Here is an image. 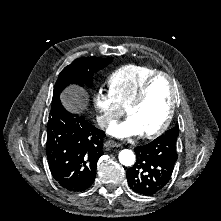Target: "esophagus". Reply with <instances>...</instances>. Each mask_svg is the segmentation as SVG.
Returning <instances> with one entry per match:
<instances>
[{
    "label": "esophagus",
    "mask_w": 221,
    "mask_h": 221,
    "mask_svg": "<svg viewBox=\"0 0 221 221\" xmlns=\"http://www.w3.org/2000/svg\"><path fill=\"white\" fill-rule=\"evenodd\" d=\"M104 147L105 148L120 147V144L113 140H107L104 142Z\"/></svg>",
    "instance_id": "obj_1"
}]
</instances>
